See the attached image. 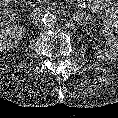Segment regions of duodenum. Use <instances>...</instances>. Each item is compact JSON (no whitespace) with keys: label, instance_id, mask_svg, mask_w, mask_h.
I'll list each match as a JSON object with an SVG mask.
<instances>
[{"label":"duodenum","instance_id":"obj_1","mask_svg":"<svg viewBox=\"0 0 118 118\" xmlns=\"http://www.w3.org/2000/svg\"><path fill=\"white\" fill-rule=\"evenodd\" d=\"M41 13H42V9L39 8V7L34 10V15H35V16H40Z\"/></svg>","mask_w":118,"mask_h":118}]
</instances>
